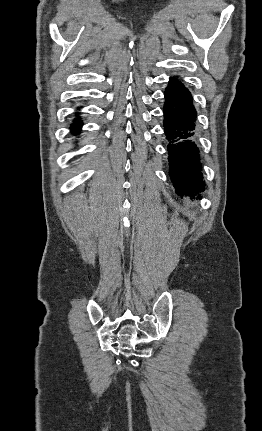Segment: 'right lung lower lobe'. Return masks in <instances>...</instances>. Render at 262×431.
I'll use <instances>...</instances> for the list:
<instances>
[{
	"label": "right lung lower lobe",
	"instance_id": "1",
	"mask_svg": "<svg viewBox=\"0 0 262 431\" xmlns=\"http://www.w3.org/2000/svg\"><path fill=\"white\" fill-rule=\"evenodd\" d=\"M82 126V123L80 120L75 121V123L71 126V129L73 132H77L80 127Z\"/></svg>",
	"mask_w": 262,
	"mask_h": 431
}]
</instances>
